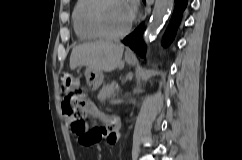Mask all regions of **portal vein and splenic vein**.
Segmentation results:
<instances>
[{"mask_svg":"<svg viewBox=\"0 0 242 160\" xmlns=\"http://www.w3.org/2000/svg\"><path fill=\"white\" fill-rule=\"evenodd\" d=\"M120 102H121V100H120V99H117V100H112V101H111V103H112V104H116V103H120Z\"/></svg>","mask_w":242,"mask_h":160,"instance_id":"portal-vein-and-splenic-vein-1","label":"portal vein and splenic vein"}]
</instances>
